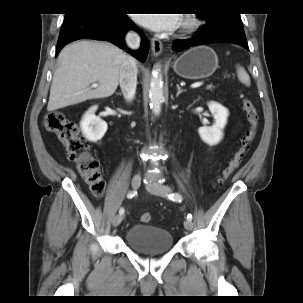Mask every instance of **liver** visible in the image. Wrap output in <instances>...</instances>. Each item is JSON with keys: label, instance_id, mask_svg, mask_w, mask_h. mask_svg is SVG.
<instances>
[{"label": "liver", "instance_id": "6515ba94", "mask_svg": "<svg viewBox=\"0 0 303 303\" xmlns=\"http://www.w3.org/2000/svg\"><path fill=\"white\" fill-rule=\"evenodd\" d=\"M124 56L121 49L104 41H77L64 47L58 56L47 110L111 96L119 84ZM95 82L99 86L90 88Z\"/></svg>", "mask_w": 303, "mask_h": 303}]
</instances>
